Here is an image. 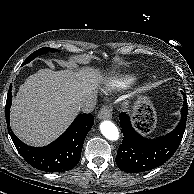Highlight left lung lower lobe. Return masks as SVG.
I'll use <instances>...</instances> for the list:
<instances>
[{"label":"left lung lower lobe","mask_w":194,"mask_h":194,"mask_svg":"<svg viewBox=\"0 0 194 194\" xmlns=\"http://www.w3.org/2000/svg\"><path fill=\"white\" fill-rule=\"evenodd\" d=\"M181 109V120L169 134L155 139H147L139 134L126 113L119 115L123 141L118 149L116 163L127 173H139L156 168L165 163L178 149L186 127L188 105L186 95Z\"/></svg>","instance_id":"left-lung-lower-lobe-1"}]
</instances>
